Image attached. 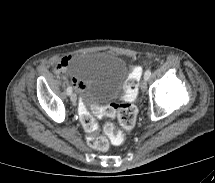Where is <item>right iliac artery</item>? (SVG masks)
I'll use <instances>...</instances> for the list:
<instances>
[{
  "label": "right iliac artery",
  "mask_w": 215,
  "mask_h": 183,
  "mask_svg": "<svg viewBox=\"0 0 215 183\" xmlns=\"http://www.w3.org/2000/svg\"><path fill=\"white\" fill-rule=\"evenodd\" d=\"M71 93H72V87L69 86V87L67 88V94L70 95Z\"/></svg>",
  "instance_id": "1"
}]
</instances>
